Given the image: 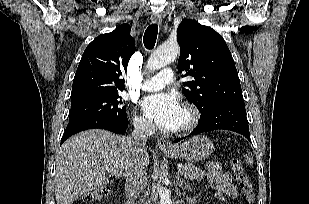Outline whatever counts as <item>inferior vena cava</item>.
Segmentation results:
<instances>
[{"instance_id": "1", "label": "inferior vena cava", "mask_w": 309, "mask_h": 204, "mask_svg": "<svg viewBox=\"0 0 309 204\" xmlns=\"http://www.w3.org/2000/svg\"><path fill=\"white\" fill-rule=\"evenodd\" d=\"M154 127L147 121H138L134 124V131L129 138V143L132 146L136 163L133 165L130 172L126 175L125 193L129 200H134L139 197L147 184L146 173V141L152 133Z\"/></svg>"}]
</instances>
